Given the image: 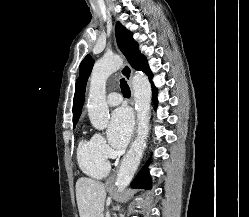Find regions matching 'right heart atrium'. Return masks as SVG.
<instances>
[{
  "mask_svg": "<svg viewBox=\"0 0 249 217\" xmlns=\"http://www.w3.org/2000/svg\"><path fill=\"white\" fill-rule=\"evenodd\" d=\"M95 145L99 153L105 158L108 159L111 155V150L109 146L107 145L104 137L100 134H95L93 136Z\"/></svg>",
  "mask_w": 249,
  "mask_h": 217,
  "instance_id": "right-heart-atrium-1",
  "label": "right heart atrium"
}]
</instances>
